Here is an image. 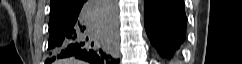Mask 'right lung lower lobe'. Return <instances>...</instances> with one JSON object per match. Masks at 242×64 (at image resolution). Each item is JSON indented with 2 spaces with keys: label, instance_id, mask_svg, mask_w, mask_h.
<instances>
[{
  "label": "right lung lower lobe",
  "instance_id": "right-lung-lower-lobe-1",
  "mask_svg": "<svg viewBox=\"0 0 242 64\" xmlns=\"http://www.w3.org/2000/svg\"><path fill=\"white\" fill-rule=\"evenodd\" d=\"M116 0H79L77 7L49 25L47 64L74 57L90 64H117L113 57Z\"/></svg>",
  "mask_w": 242,
  "mask_h": 64
}]
</instances>
